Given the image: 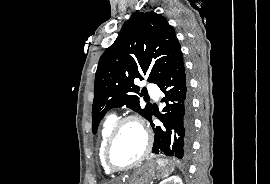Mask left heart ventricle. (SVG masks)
Returning a JSON list of instances; mask_svg holds the SVG:
<instances>
[{
	"label": "left heart ventricle",
	"mask_w": 270,
	"mask_h": 184,
	"mask_svg": "<svg viewBox=\"0 0 270 184\" xmlns=\"http://www.w3.org/2000/svg\"><path fill=\"white\" fill-rule=\"evenodd\" d=\"M145 148V136L134 122L123 125L110 151V160L116 166H126L140 157Z\"/></svg>",
	"instance_id": "b2bd125f"
}]
</instances>
